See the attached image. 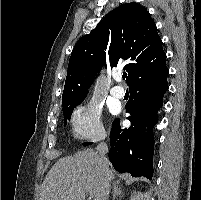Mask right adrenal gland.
<instances>
[{
	"mask_svg": "<svg viewBox=\"0 0 201 200\" xmlns=\"http://www.w3.org/2000/svg\"><path fill=\"white\" fill-rule=\"evenodd\" d=\"M122 194V189L119 185H116L114 184L113 185V190H112V197H113V200L116 199L117 196L121 195Z\"/></svg>",
	"mask_w": 201,
	"mask_h": 200,
	"instance_id": "2a0ac1e0",
	"label": "right adrenal gland"
}]
</instances>
